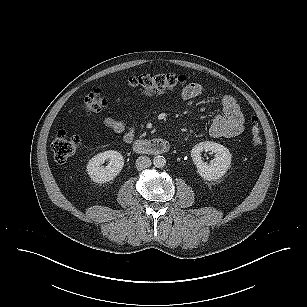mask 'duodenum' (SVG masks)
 I'll return each mask as SVG.
<instances>
[{
	"label": "duodenum",
	"mask_w": 307,
	"mask_h": 307,
	"mask_svg": "<svg viewBox=\"0 0 307 307\" xmlns=\"http://www.w3.org/2000/svg\"><path fill=\"white\" fill-rule=\"evenodd\" d=\"M133 148L135 151L140 153L161 155L168 152L169 145L164 139L150 138V139H139L134 141Z\"/></svg>",
	"instance_id": "410a0bca"
}]
</instances>
